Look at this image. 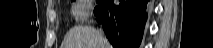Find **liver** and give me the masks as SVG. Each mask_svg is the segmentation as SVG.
<instances>
[{
	"mask_svg": "<svg viewBox=\"0 0 213 48\" xmlns=\"http://www.w3.org/2000/svg\"><path fill=\"white\" fill-rule=\"evenodd\" d=\"M61 48H112V46L99 30L78 25L66 34Z\"/></svg>",
	"mask_w": 213,
	"mask_h": 48,
	"instance_id": "obj_1",
	"label": "liver"
}]
</instances>
